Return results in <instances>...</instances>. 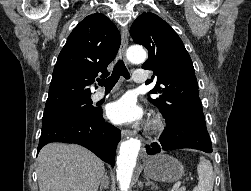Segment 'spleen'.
Returning a JSON list of instances; mask_svg holds the SVG:
<instances>
[{
	"label": "spleen",
	"mask_w": 251,
	"mask_h": 191,
	"mask_svg": "<svg viewBox=\"0 0 251 191\" xmlns=\"http://www.w3.org/2000/svg\"><path fill=\"white\" fill-rule=\"evenodd\" d=\"M198 185H195L193 191H213L214 185V171L211 161L206 159L204 155L199 157L198 163Z\"/></svg>",
	"instance_id": "1"
}]
</instances>
